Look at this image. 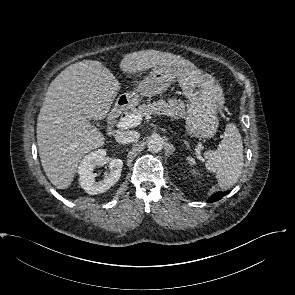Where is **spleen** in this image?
<instances>
[{"mask_svg": "<svg viewBox=\"0 0 295 295\" xmlns=\"http://www.w3.org/2000/svg\"><path fill=\"white\" fill-rule=\"evenodd\" d=\"M205 167L216 174L219 186H233L239 179L243 168V143L239 130L233 123L226 125L224 138L216 150L204 153ZM190 164H195L194 158L188 157Z\"/></svg>", "mask_w": 295, "mask_h": 295, "instance_id": "1", "label": "spleen"}]
</instances>
